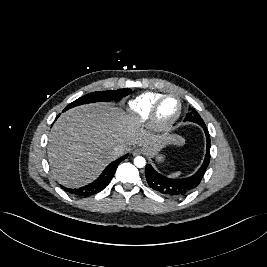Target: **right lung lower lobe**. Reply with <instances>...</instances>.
Instances as JSON below:
<instances>
[{"label": "right lung lower lobe", "mask_w": 267, "mask_h": 267, "mask_svg": "<svg viewBox=\"0 0 267 267\" xmlns=\"http://www.w3.org/2000/svg\"><path fill=\"white\" fill-rule=\"evenodd\" d=\"M58 118V116H57ZM128 157V154L118 158L117 160L113 161L112 163H110L105 170L102 172V174L92 183H90L89 185H86L84 187L81 188H76V189H70V188H66L64 186H61L65 191L74 194V195H78V196H82V197H88L91 195H94L100 191H102L111 181L118 164L126 159Z\"/></svg>", "instance_id": "right-lung-lower-lobe-1"}]
</instances>
